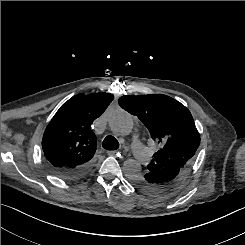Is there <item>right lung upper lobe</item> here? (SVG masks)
I'll return each instance as SVG.
<instances>
[{
	"instance_id": "1",
	"label": "right lung upper lobe",
	"mask_w": 245,
	"mask_h": 245,
	"mask_svg": "<svg viewBox=\"0 0 245 245\" xmlns=\"http://www.w3.org/2000/svg\"><path fill=\"white\" fill-rule=\"evenodd\" d=\"M113 99L110 93L78 94L59 108L42 139L49 166L74 169L92 161L97 141L91 124Z\"/></svg>"
}]
</instances>
